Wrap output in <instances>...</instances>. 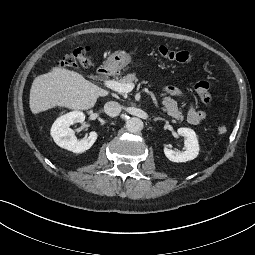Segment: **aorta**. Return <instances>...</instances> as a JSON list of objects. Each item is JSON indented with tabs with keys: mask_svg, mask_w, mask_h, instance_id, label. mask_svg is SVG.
Segmentation results:
<instances>
[{
	"mask_svg": "<svg viewBox=\"0 0 255 255\" xmlns=\"http://www.w3.org/2000/svg\"><path fill=\"white\" fill-rule=\"evenodd\" d=\"M126 128L131 133L139 132L143 129V122L137 117L129 118L126 121Z\"/></svg>",
	"mask_w": 255,
	"mask_h": 255,
	"instance_id": "aorta-1",
	"label": "aorta"
}]
</instances>
